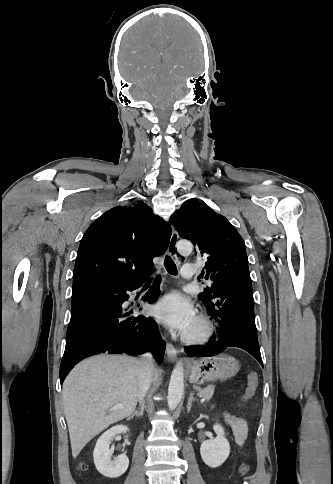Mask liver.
<instances>
[{
  "label": "liver",
  "mask_w": 333,
  "mask_h": 484,
  "mask_svg": "<svg viewBox=\"0 0 333 484\" xmlns=\"http://www.w3.org/2000/svg\"><path fill=\"white\" fill-rule=\"evenodd\" d=\"M137 359L101 354L90 357L66 377L62 388L72 456L109 425L129 417L138 398ZM155 379L157 372L153 368ZM116 404H123L116 409Z\"/></svg>",
  "instance_id": "obj_1"
}]
</instances>
